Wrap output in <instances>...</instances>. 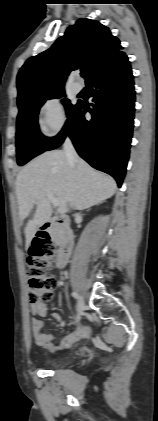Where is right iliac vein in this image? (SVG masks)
Here are the masks:
<instances>
[{
	"label": "right iliac vein",
	"instance_id": "right-iliac-vein-1",
	"mask_svg": "<svg viewBox=\"0 0 158 421\" xmlns=\"http://www.w3.org/2000/svg\"><path fill=\"white\" fill-rule=\"evenodd\" d=\"M84 305H85V303H84V298H83V296L80 294V295L78 296V303H77V309H78V312H82V311H83V309H84Z\"/></svg>",
	"mask_w": 158,
	"mask_h": 421
}]
</instances>
